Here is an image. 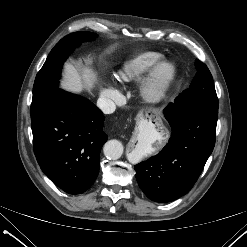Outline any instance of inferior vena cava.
Listing matches in <instances>:
<instances>
[{"label":"inferior vena cava","instance_id":"obj_1","mask_svg":"<svg viewBox=\"0 0 247 247\" xmlns=\"http://www.w3.org/2000/svg\"><path fill=\"white\" fill-rule=\"evenodd\" d=\"M97 106L104 114H111L116 109L115 103L111 99L105 97H101L97 100Z\"/></svg>","mask_w":247,"mask_h":247}]
</instances>
